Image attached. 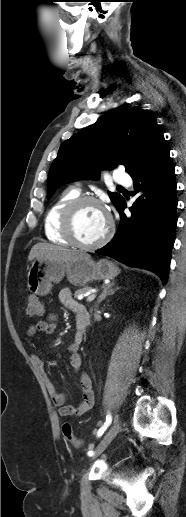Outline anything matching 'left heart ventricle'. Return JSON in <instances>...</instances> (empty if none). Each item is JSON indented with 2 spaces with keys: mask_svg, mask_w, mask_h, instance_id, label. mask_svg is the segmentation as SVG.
Here are the masks:
<instances>
[{
  "mask_svg": "<svg viewBox=\"0 0 186 517\" xmlns=\"http://www.w3.org/2000/svg\"><path fill=\"white\" fill-rule=\"evenodd\" d=\"M108 228L106 212L97 205L83 206L75 221L76 235L83 243H94L99 240Z\"/></svg>",
  "mask_w": 186,
  "mask_h": 517,
  "instance_id": "b2bd125f",
  "label": "left heart ventricle"
}]
</instances>
